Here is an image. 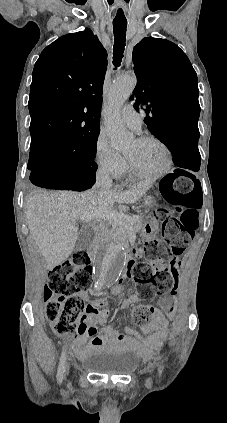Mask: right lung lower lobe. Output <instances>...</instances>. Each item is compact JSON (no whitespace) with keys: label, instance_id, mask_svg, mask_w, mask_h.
Segmentation results:
<instances>
[{"label":"right lung lower lobe","instance_id":"1","mask_svg":"<svg viewBox=\"0 0 227 423\" xmlns=\"http://www.w3.org/2000/svg\"><path fill=\"white\" fill-rule=\"evenodd\" d=\"M44 167L31 170L30 181L39 187L58 190L84 191L95 183L97 164L91 167L83 163L51 158Z\"/></svg>","mask_w":227,"mask_h":423}]
</instances>
